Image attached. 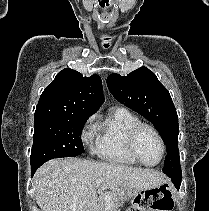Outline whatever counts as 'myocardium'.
<instances>
[{"label":"myocardium","mask_w":209,"mask_h":211,"mask_svg":"<svg viewBox=\"0 0 209 211\" xmlns=\"http://www.w3.org/2000/svg\"><path fill=\"white\" fill-rule=\"evenodd\" d=\"M143 130L151 131L156 136V138L158 139V141L160 143L161 156L156 163H153V164L146 163L145 161L142 160V158L138 154L137 147H136L137 140H138L140 133ZM127 148H128L129 153L131 154V156L139 164L146 166V167H155V166L159 165L162 162V160L164 159L165 153H166V145H165L164 139H163L162 135L160 134V132L154 126L147 124V123H143V122H139L137 125H135L130 130L128 137H127Z\"/></svg>","instance_id":"myocardium-1"}]
</instances>
